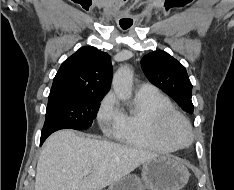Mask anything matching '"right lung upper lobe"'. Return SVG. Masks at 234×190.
<instances>
[{"mask_svg":"<svg viewBox=\"0 0 234 190\" xmlns=\"http://www.w3.org/2000/svg\"><path fill=\"white\" fill-rule=\"evenodd\" d=\"M110 56L93 47H82L67 58L53 80L51 91L102 97L110 89Z\"/></svg>","mask_w":234,"mask_h":190,"instance_id":"right-lung-upper-lobe-1","label":"right lung upper lobe"}]
</instances>
